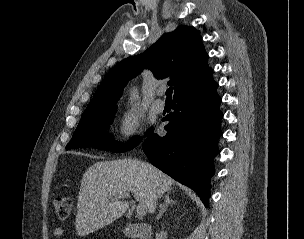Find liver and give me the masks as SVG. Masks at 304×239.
I'll return each instance as SVG.
<instances>
[{"instance_id": "obj_1", "label": "liver", "mask_w": 304, "mask_h": 239, "mask_svg": "<svg viewBox=\"0 0 304 239\" xmlns=\"http://www.w3.org/2000/svg\"><path fill=\"white\" fill-rule=\"evenodd\" d=\"M173 179L151 164L140 160L99 161L83 174L78 195L76 231L86 236L125 214L129 203L120 193L132 192L134 198L154 212L156 201L169 191Z\"/></svg>"}]
</instances>
